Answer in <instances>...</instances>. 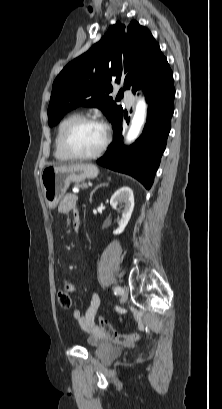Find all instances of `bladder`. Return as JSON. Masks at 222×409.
<instances>
[{
  "mask_svg": "<svg viewBox=\"0 0 222 409\" xmlns=\"http://www.w3.org/2000/svg\"><path fill=\"white\" fill-rule=\"evenodd\" d=\"M122 352V348L108 343L100 344L94 349V354L105 363L120 356Z\"/></svg>",
  "mask_w": 222,
  "mask_h": 409,
  "instance_id": "bladder-1",
  "label": "bladder"
}]
</instances>
